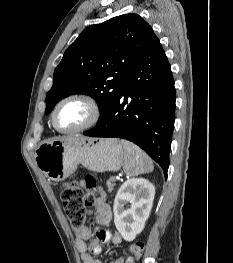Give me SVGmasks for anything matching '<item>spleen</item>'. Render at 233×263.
<instances>
[{
  "label": "spleen",
  "mask_w": 233,
  "mask_h": 263,
  "mask_svg": "<svg viewBox=\"0 0 233 263\" xmlns=\"http://www.w3.org/2000/svg\"><path fill=\"white\" fill-rule=\"evenodd\" d=\"M121 143L125 149L123 169L127 175L137 176L153 171V163L145 152L129 141L122 140Z\"/></svg>",
  "instance_id": "spleen-1"
}]
</instances>
